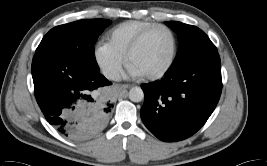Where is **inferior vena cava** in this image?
I'll return each instance as SVG.
<instances>
[{
    "label": "inferior vena cava",
    "instance_id": "1",
    "mask_svg": "<svg viewBox=\"0 0 267 166\" xmlns=\"http://www.w3.org/2000/svg\"><path fill=\"white\" fill-rule=\"evenodd\" d=\"M117 77H118V76H117L116 73H110V74H109V78L115 79V78H117Z\"/></svg>",
    "mask_w": 267,
    "mask_h": 166
}]
</instances>
